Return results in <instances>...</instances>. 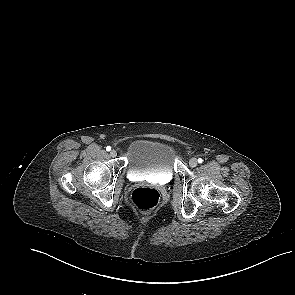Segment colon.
Masks as SVG:
<instances>
[{
    "instance_id": "1",
    "label": "colon",
    "mask_w": 295,
    "mask_h": 295,
    "mask_svg": "<svg viewBox=\"0 0 295 295\" xmlns=\"http://www.w3.org/2000/svg\"><path fill=\"white\" fill-rule=\"evenodd\" d=\"M130 198L137 209L148 212L158 205L160 194L154 188L140 187L132 191Z\"/></svg>"
}]
</instances>
